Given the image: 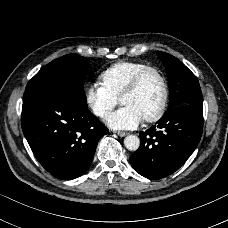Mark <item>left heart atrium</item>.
Here are the masks:
<instances>
[{
	"label": "left heart atrium",
	"mask_w": 228,
	"mask_h": 228,
	"mask_svg": "<svg viewBox=\"0 0 228 228\" xmlns=\"http://www.w3.org/2000/svg\"><path fill=\"white\" fill-rule=\"evenodd\" d=\"M142 121V115L131 106H124L106 117L108 126L117 130L135 129Z\"/></svg>",
	"instance_id": "1"
}]
</instances>
